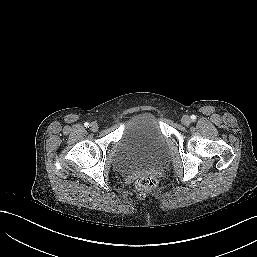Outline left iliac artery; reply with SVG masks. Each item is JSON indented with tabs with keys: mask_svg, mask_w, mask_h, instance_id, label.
I'll list each match as a JSON object with an SVG mask.
<instances>
[{
	"mask_svg": "<svg viewBox=\"0 0 257 257\" xmlns=\"http://www.w3.org/2000/svg\"><path fill=\"white\" fill-rule=\"evenodd\" d=\"M192 120L194 121L196 119V116L195 115H192L191 116Z\"/></svg>",
	"mask_w": 257,
	"mask_h": 257,
	"instance_id": "obj_1",
	"label": "left iliac artery"
}]
</instances>
